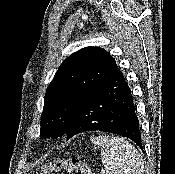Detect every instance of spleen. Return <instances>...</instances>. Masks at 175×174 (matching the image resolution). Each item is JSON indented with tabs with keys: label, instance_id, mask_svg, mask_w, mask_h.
<instances>
[{
	"label": "spleen",
	"instance_id": "1",
	"mask_svg": "<svg viewBox=\"0 0 175 174\" xmlns=\"http://www.w3.org/2000/svg\"><path fill=\"white\" fill-rule=\"evenodd\" d=\"M91 141L101 148V158L106 174L143 173V159L141 155L123 137L93 136Z\"/></svg>",
	"mask_w": 175,
	"mask_h": 174
}]
</instances>
